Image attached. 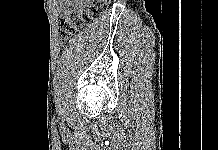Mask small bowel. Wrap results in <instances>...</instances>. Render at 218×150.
Listing matches in <instances>:
<instances>
[{
  "instance_id": "1",
  "label": "small bowel",
  "mask_w": 218,
  "mask_h": 150,
  "mask_svg": "<svg viewBox=\"0 0 218 150\" xmlns=\"http://www.w3.org/2000/svg\"><path fill=\"white\" fill-rule=\"evenodd\" d=\"M91 0H56L57 10L60 16H65L81 6L89 4Z\"/></svg>"
}]
</instances>
